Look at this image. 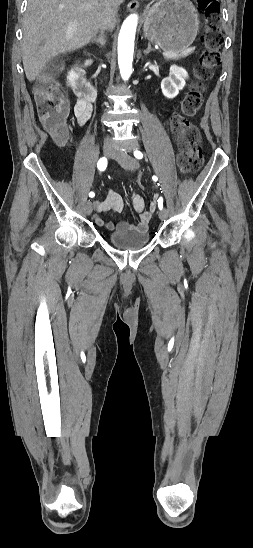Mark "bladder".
<instances>
[{
	"mask_svg": "<svg viewBox=\"0 0 253 548\" xmlns=\"http://www.w3.org/2000/svg\"><path fill=\"white\" fill-rule=\"evenodd\" d=\"M110 244L121 250H138L145 247L150 241L147 231L143 232H112L108 235Z\"/></svg>",
	"mask_w": 253,
	"mask_h": 548,
	"instance_id": "31cf9c89",
	"label": "bladder"
}]
</instances>
